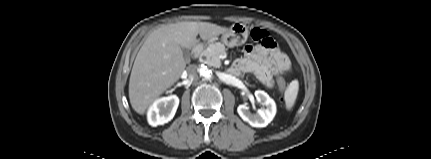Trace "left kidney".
Listing matches in <instances>:
<instances>
[{
  "mask_svg": "<svg viewBox=\"0 0 431 159\" xmlns=\"http://www.w3.org/2000/svg\"><path fill=\"white\" fill-rule=\"evenodd\" d=\"M255 97L257 101L262 106H266V108L263 107L258 109L256 114H252L246 105H239L237 112L239 116L252 127H265L273 120L276 114V104L274 100L270 98L269 95L264 91H255Z\"/></svg>",
  "mask_w": 431,
  "mask_h": 159,
  "instance_id": "5707ae66",
  "label": "left kidney"
}]
</instances>
